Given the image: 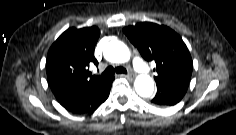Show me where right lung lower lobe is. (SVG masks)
I'll return each instance as SVG.
<instances>
[{"instance_id":"right-lung-lower-lobe-1","label":"right lung lower lobe","mask_w":236,"mask_h":135,"mask_svg":"<svg viewBox=\"0 0 236 135\" xmlns=\"http://www.w3.org/2000/svg\"><path fill=\"white\" fill-rule=\"evenodd\" d=\"M114 77L83 88H64L53 91L58 102L68 111L85 114L96 110L108 98Z\"/></svg>"}]
</instances>
